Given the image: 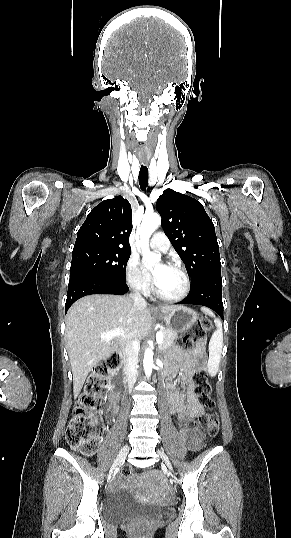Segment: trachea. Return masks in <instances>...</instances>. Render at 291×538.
<instances>
[{"label":"trachea","instance_id":"3493384b","mask_svg":"<svg viewBox=\"0 0 291 538\" xmlns=\"http://www.w3.org/2000/svg\"><path fill=\"white\" fill-rule=\"evenodd\" d=\"M139 184L141 189L144 191L148 186V168L146 166H141L139 171Z\"/></svg>","mask_w":291,"mask_h":538}]
</instances>
